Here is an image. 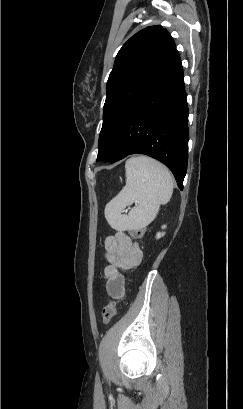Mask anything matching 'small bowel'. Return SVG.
I'll list each match as a JSON object with an SVG mask.
<instances>
[{
	"instance_id": "1",
	"label": "small bowel",
	"mask_w": 243,
	"mask_h": 409,
	"mask_svg": "<svg viewBox=\"0 0 243 409\" xmlns=\"http://www.w3.org/2000/svg\"><path fill=\"white\" fill-rule=\"evenodd\" d=\"M108 265L104 269L105 288L112 298H120L125 291V278L121 270H128L140 263L142 251L130 237L116 230L104 242Z\"/></svg>"
}]
</instances>
